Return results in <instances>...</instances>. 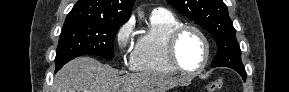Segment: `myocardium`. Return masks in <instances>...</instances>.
I'll use <instances>...</instances> for the list:
<instances>
[{
    "label": "myocardium",
    "instance_id": "1",
    "mask_svg": "<svg viewBox=\"0 0 289 92\" xmlns=\"http://www.w3.org/2000/svg\"><path fill=\"white\" fill-rule=\"evenodd\" d=\"M187 31H192L196 33L203 41V44L205 47V54H204V59L202 61V64L195 70L185 69L180 64L178 55H177V47H178L179 40L182 37V35L186 33ZM166 51H167V57H168L170 64L177 72H180L186 75H197L206 68L210 59L211 47H210L209 39L200 28L194 25H190V24H181L170 33L167 39Z\"/></svg>",
    "mask_w": 289,
    "mask_h": 92
}]
</instances>
